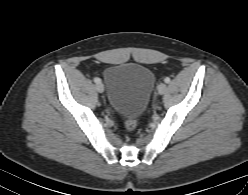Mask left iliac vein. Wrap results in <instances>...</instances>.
Listing matches in <instances>:
<instances>
[{
    "instance_id": "4c4485c4",
    "label": "left iliac vein",
    "mask_w": 248,
    "mask_h": 195,
    "mask_svg": "<svg viewBox=\"0 0 248 195\" xmlns=\"http://www.w3.org/2000/svg\"><path fill=\"white\" fill-rule=\"evenodd\" d=\"M166 84H164V83H160L159 85H158V92H159V94H164L165 93V91H166Z\"/></svg>"
}]
</instances>
